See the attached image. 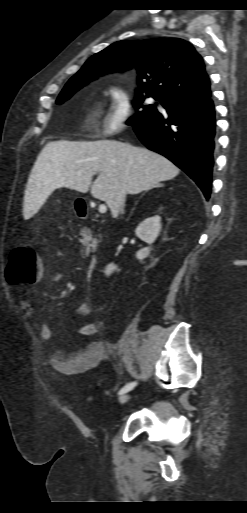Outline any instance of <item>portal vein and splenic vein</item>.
Here are the masks:
<instances>
[{
	"instance_id": "obj_1",
	"label": "portal vein and splenic vein",
	"mask_w": 247,
	"mask_h": 513,
	"mask_svg": "<svg viewBox=\"0 0 247 513\" xmlns=\"http://www.w3.org/2000/svg\"><path fill=\"white\" fill-rule=\"evenodd\" d=\"M106 210H107V208H106V206H105L104 204H101V205L99 206V212H100V213H105V212H106Z\"/></svg>"
}]
</instances>
